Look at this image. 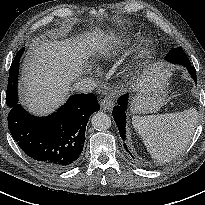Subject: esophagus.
<instances>
[{"label": "esophagus", "mask_w": 205, "mask_h": 205, "mask_svg": "<svg viewBox=\"0 0 205 205\" xmlns=\"http://www.w3.org/2000/svg\"><path fill=\"white\" fill-rule=\"evenodd\" d=\"M100 106L104 110L110 111L114 107V103L111 97H105L101 100Z\"/></svg>", "instance_id": "34e87169"}]
</instances>
